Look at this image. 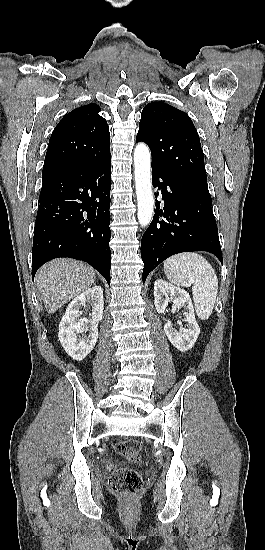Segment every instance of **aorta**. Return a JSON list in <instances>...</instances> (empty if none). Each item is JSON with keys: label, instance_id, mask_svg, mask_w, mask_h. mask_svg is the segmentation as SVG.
<instances>
[{"label": "aorta", "instance_id": "1", "mask_svg": "<svg viewBox=\"0 0 265 550\" xmlns=\"http://www.w3.org/2000/svg\"><path fill=\"white\" fill-rule=\"evenodd\" d=\"M135 186L138 202V221L141 227L150 224L154 212L151 182V155L148 146L137 144L134 150Z\"/></svg>", "mask_w": 265, "mask_h": 550}]
</instances>
